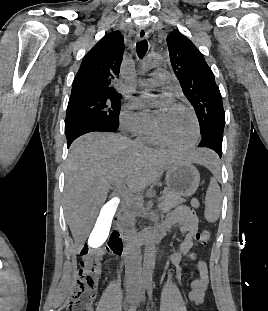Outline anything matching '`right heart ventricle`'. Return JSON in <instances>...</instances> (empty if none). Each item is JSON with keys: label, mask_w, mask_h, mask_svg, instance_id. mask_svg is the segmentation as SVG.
I'll return each instance as SVG.
<instances>
[{"label": "right heart ventricle", "mask_w": 268, "mask_h": 311, "mask_svg": "<svg viewBox=\"0 0 268 311\" xmlns=\"http://www.w3.org/2000/svg\"><path fill=\"white\" fill-rule=\"evenodd\" d=\"M139 140L145 142L147 144H159L160 142L157 140L153 128L147 130L143 134L138 136Z\"/></svg>", "instance_id": "1"}]
</instances>
